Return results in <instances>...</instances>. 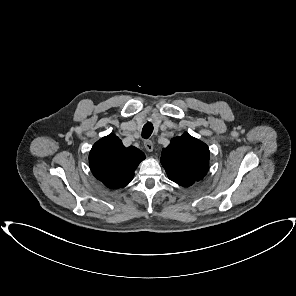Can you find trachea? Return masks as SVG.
Listing matches in <instances>:
<instances>
[{
    "label": "trachea",
    "mask_w": 296,
    "mask_h": 296,
    "mask_svg": "<svg viewBox=\"0 0 296 296\" xmlns=\"http://www.w3.org/2000/svg\"><path fill=\"white\" fill-rule=\"evenodd\" d=\"M153 132V125L150 122H147L142 128V137L148 139Z\"/></svg>",
    "instance_id": "trachea-1"
}]
</instances>
